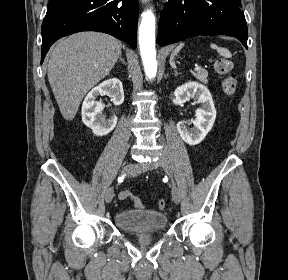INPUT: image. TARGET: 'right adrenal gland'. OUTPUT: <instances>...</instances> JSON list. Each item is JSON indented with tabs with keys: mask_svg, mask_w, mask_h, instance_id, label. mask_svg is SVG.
Returning <instances> with one entry per match:
<instances>
[{
	"mask_svg": "<svg viewBox=\"0 0 288 280\" xmlns=\"http://www.w3.org/2000/svg\"><path fill=\"white\" fill-rule=\"evenodd\" d=\"M118 62H121L122 64H125V61H124V59L122 58L121 55L119 56V60H118Z\"/></svg>",
	"mask_w": 288,
	"mask_h": 280,
	"instance_id": "1",
	"label": "right adrenal gland"
}]
</instances>
